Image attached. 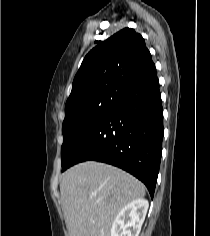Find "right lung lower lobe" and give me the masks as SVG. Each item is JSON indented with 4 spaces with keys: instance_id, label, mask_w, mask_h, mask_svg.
Returning a JSON list of instances; mask_svg holds the SVG:
<instances>
[{
    "instance_id": "98d812e1",
    "label": "right lung lower lobe",
    "mask_w": 210,
    "mask_h": 236,
    "mask_svg": "<svg viewBox=\"0 0 210 236\" xmlns=\"http://www.w3.org/2000/svg\"><path fill=\"white\" fill-rule=\"evenodd\" d=\"M163 109L156 71L125 89L87 134L63 171L94 160L117 166L141 180L153 198L159 172Z\"/></svg>"
}]
</instances>
